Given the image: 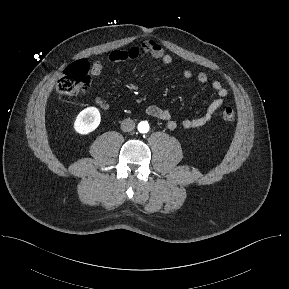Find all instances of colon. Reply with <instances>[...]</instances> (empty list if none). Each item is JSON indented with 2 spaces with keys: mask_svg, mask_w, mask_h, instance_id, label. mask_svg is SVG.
Instances as JSON below:
<instances>
[{
  "mask_svg": "<svg viewBox=\"0 0 289 289\" xmlns=\"http://www.w3.org/2000/svg\"><path fill=\"white\" fill-rule=\"evenodd\" d=\"M90 70L89 63L84 60L70 65L57 82V93L67 96L85 93L91 82ZM222 118L226 122H233L235 120V111L231 107H226L222 111Z\"/></svg>",
  "mask_w": 289,
  "mask_h": 289,
  "instance_id": "1",
  "label": "colon"
}]
</instances>
